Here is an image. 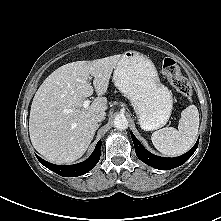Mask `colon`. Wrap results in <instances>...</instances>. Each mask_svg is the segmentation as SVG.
Instances as JSON below:
<instances>
[{
	"mask_svg": "<svg viewBox=\"0 0 221 221\" xmlns=\"http://www.w3.org/2000/svg\"><path fill=\"white\" fill-rule=\"evenodd\" d=\"M162 73L179 94L186 99L192 97L191 86L186 78L182 76L179 65L174 59H164L162 63Z\"/></svg>",
	"mask_w": 221,
	"mask_h": 221,
	"instance_id": "colon-1",
	"label": "colon"
}]
</instances>
